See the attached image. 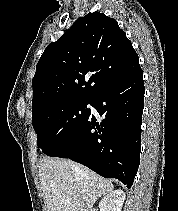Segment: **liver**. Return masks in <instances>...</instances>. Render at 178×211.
Listing matches in <instances>:
<instances>
[{"label": "liver", "instance_id": "obj_1", "mask_svg": "<svg viewBox=\"0 0 178 211\" xmlns=\"http://www.w3.org/2000/svg\"><path fill=\"white\" fill-rule=\"evenodd\" d=\"M39 179L47 211H92L95 201L114 188L89 168L59 158L39 164Z\"/></svg>", "mask_w": 178, "mask_h": 211}]
</instances>
